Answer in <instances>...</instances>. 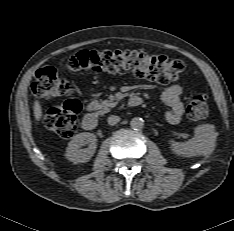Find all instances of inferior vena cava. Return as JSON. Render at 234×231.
<instances>
[{"label": "inferior vena cava", "mask_w": 234, "mask_h": 231, "mask_svg": "<svg viewBox=\"0 0 234 231\" xmlns=\"http://www.w3.org/2000/svg\"><path fill=\"white\" fill-rule=\"evenodd\" d=\"M120 121V117L111 115L108 117V124L109 125H115Z\"/></svg>", "instance_id": "obj_1"}]
</instances>
